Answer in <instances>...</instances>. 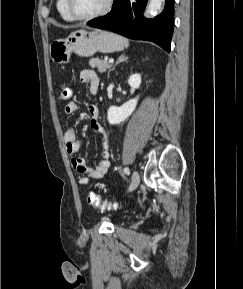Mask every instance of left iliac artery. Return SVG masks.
I'll list each match as a JSON object with an SVG mask.
<instances>
[{
    "label": "left iliac artery",
    "instance_id": "obj_1",
    "mask_svg": "<svg viewBox=\"0 0 243 289\" xmlns=\"http://www.w3.org/2000/svg\"><path fill=\"white\" fill-rule=\"evenodd\" d=\"M123 171H124V173L127 174V175L130 174V169H129L128 167H125Z\"/></svg>",
    "mask_w": 243,
    "mask_h": 289
}]
</instances>
